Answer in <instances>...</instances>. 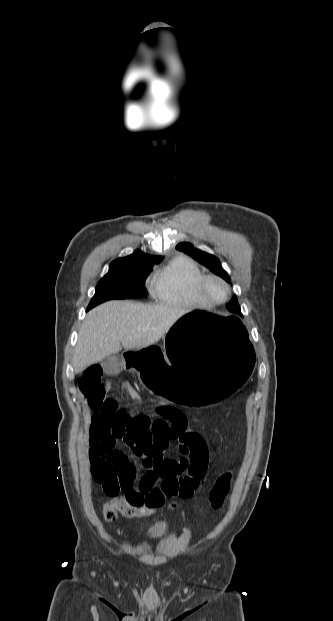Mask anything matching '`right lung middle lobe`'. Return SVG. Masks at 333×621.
I'll use <instances>...</instances> for the list:
<instances>
[{
    "label": "right lung middle lobe",
    "mask_w": 333,
    "mask_h": 621,
    "mask_svg": "<svg viewBox=\"0 0 333 621\" xmlns=\"http://www.w3.org/2000/svg\"><path fill=\"white\" fill-rule=\"evenodd\" d=\"M151 270L152 266L111 263L109 272L99 281L87 311L111 299L147 297L144 283Z\"/></svg>",
    "instance_id": "right-lung-middle-lobe-1"
}]
</instances>
